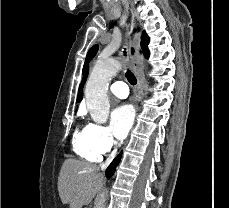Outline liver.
Here are the masks:
<instances>
[{"instance_id":"liver-1","label":"liver","mask_w":229,"mask_h":208,"mask_svg":"<svg viewBox=\"0 0 229 208\" xmlns=\"http://www.w3.org/2000/svg\"><path fill=\"white\" fill-rule=\"evenodd\" d=\"M104 182L97 166L80 160H65L59 174L58 192L62 204L82 208L96 196Z\"/></svg>"}]
</instances>
